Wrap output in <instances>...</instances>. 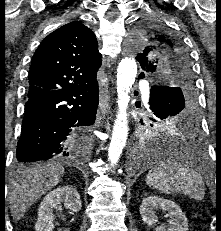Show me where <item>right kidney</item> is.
Listing matches in <instances>:
<instances>
[{"label": "right kidney", "instance_id": "ca27d5eb", "mask_svg": "<svg viewBox=\"0 0 221 231\" xmlns=\"http://www.w3.org/2000/svg\"><path fill=\"white\" fill-rule=\"evenodd\" d=\"M61 203H64V206L71 212L77 213L81 209L80 195L73 187H58L49 192L41 202L35 225L36 231H53V210Z\"/></svg>", "mask_w": 221, "mask_h": 231}]
</instances>
